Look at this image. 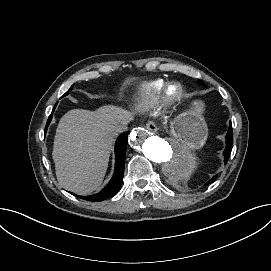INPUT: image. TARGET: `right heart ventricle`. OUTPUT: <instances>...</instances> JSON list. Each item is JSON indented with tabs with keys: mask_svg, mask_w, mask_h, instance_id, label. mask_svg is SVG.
Masks as SVG:
<instances>
[{
	"mask_svg": "<svg viewBox=\"0 0 271 271\" xmlns=\"http://www.w3.org/2000/svg\"><path fill=\"white\" fill-rule=\"evenodd\" d=\"M168 81L166 79L158 78L142 82L139 86V109H145L148 105L157 101L163 96Z\"/></svg>",
	"mask_w": 271,
	"mask_h": 271,
	"instance_id": "e07e8e85",
	"label": "right heart ventricle"
}]
</instances>
